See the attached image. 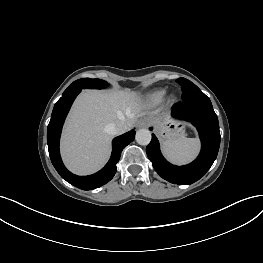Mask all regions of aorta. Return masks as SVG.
Masks as SVG:
<instances>
[{
	"instance_id": "762f6f07",
	"label": "aorta",
	"mask_w": 263,
	"mask_h": 263,
	"mask_svg": "<svg viewBox=\"0 0 263 263\" xmlns=\"http://www.w3.org/2000/svg\"><path fill=\"white\" fill-rule=\"evenodd\" d=\"M135 139L140 145H148L151 141V132L148 129H139Z\"/></svg>"
}]
</instances>
